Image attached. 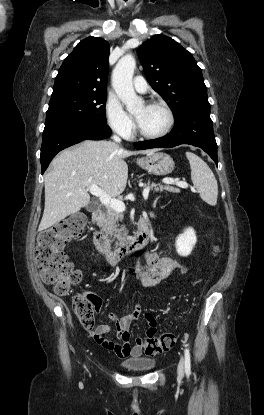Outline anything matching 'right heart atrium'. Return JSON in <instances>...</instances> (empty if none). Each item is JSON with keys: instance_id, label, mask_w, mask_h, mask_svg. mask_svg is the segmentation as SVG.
<instances>
[{"instance_id": "d8ad5b80", "label": "right heart atrium", "mask_w": 264, "mask_h": 415, "mask_svg": "<svg viewBox=\"0 0 264 415\" xmlns=\"http://www.w3.org/2000/svg\"><path fill=\"white\" fill-rule=\"evenodd\" d=\"M106 117L111 129L124 138L133 136L135 124L132 117L123 109L114 96H109L105 106Z\"/></svg>"}]
</instances>
